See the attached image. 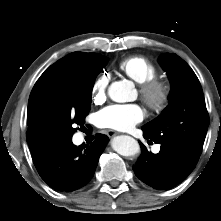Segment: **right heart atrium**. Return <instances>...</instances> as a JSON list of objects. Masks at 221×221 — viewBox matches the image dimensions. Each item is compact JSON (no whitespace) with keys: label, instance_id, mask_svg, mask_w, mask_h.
<instances>
[{"label":"right heart atrium","instance_id":"right-heart-atrium-1","mask_svg":"<svg viewBox=\"0 0 221 221\" xmlns=\"http://www.w3.org/2000/svg\"><path fill=\"white\" fill-rule=\"evenodd\" d=\"M108 83L109 79L106 74L100 75L93 82L91 92L94 102L101 103L106 99Z\"/></svg>","mask_w":221,"mask_h":221}]
</instances>
